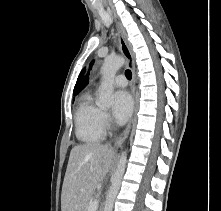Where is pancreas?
I'll list each match as a JSON object with an SVG mask.
<instances>
[{
    "instance_id": "cf45deb5",
    "label": "pancreas",
    "mask_w": 221,
    "mask_h": 211,
    "mask_svg": "<svg viewBox=\"0 0 221 211\" xmlns=\"http://www.w3.org/2000/svg\"><path fill=\"white\" fill-rule=\"evenodd\" d=\"M93 198H94L93 193L90 194V195L86 198L85 203H84V208H85L84 211H88L89 203H90V201H91Z\"/></svg>"
}]
</instances>
